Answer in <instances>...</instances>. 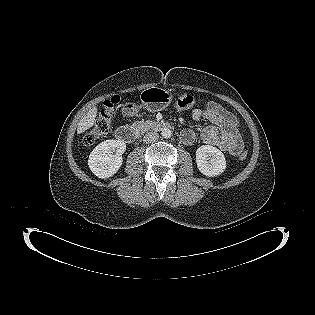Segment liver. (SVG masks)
Segmentation results:
<instances>
[{
	"instance_id": "obj_1",
	"label": "liver",
	"mask_w": 315,
	"mask_h": 315,
	"mask_svg": "<svg viewBox=\"0 0 315 315\" xmlns=\"http://www.w3.org/2000/svg\"><path fill=\"white\" fill-rule=\"evenodd\" d=\"M96 115H97V108L93 107L80 120V122L78 124V129H77L78 133H83L84 131L91 128L95 123Z\"/></svg>"
}]
</instances>
